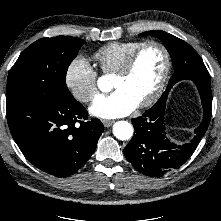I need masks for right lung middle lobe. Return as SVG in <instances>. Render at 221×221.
<instances>
[{
  "label": "right lung middle lobe",
  "mask_w": 221,
  "mask_h": 221,
  "mask_svg": "<svg viewBox=\"0 0 221 221\" xmlns=\"http://www.w3.org/2000/svg\"><path fill=\"white\" fill-rule=\"evenodd\" d=\"M84 44L83 39L68 36L42 38L31 44L9 71L7 100L22 96L50 99L61 93L71 97L66 73Z\"/></svg>",
  "instance_id": "right-lung-middle-lobe-1"
}]
</instances>
